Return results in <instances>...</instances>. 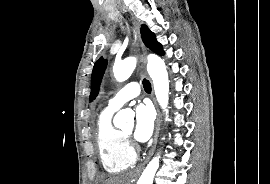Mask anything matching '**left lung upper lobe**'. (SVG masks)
Returning <instances> with one entry per match:
<instances>
[{
  "label": "left lung upper lobe",
  "mask_w": 270,
  "mask_h": 184,
  "mask_svg": "<svg viewBox=\"0 0 270 184\" xmlns=\"http://www.w3.org/2000/svg\"><path fill=\"white\" fill-rule=\"evenodd\" d=\"M141 37L144 44L159 55H164V51L162 49V45L157 42L156 35L148 29L146 25H142L141 27ZM107 66V60L103 57H100L94 64V68L92 71L91 77V94L90 101L94 100L98 95L100 90V83L102 80V76Z\"/></svg>",
  "instance_id": "left-lung-upper-lobe-1"
}]
</instances>
